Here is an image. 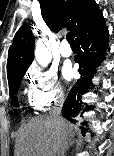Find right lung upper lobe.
Wrapping results in <instances>:
<instances>
[{
    "label": "right lung upper lobe",
    "instance_id": "1",
    "mask_svg": "<svg viewBox=\"0 0 114 156\" xmlns=\"http://www.w3.org/2000/svg\"><path fill=\"white\" fill-rule=\"evenodd\" d=\"M41 14L48 27L58 32L63 27L75 36L99 10L95 0H40ZM34 59V36L28 25L15 34L8 53V81L26 72Z\"/></svg>",
    "mask_w": 114,
    "mask_h": 156
}]
</instances>
